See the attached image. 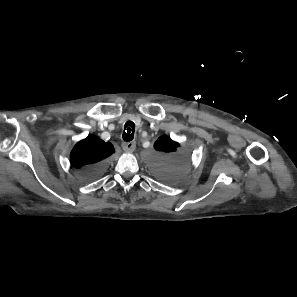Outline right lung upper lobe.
I'll list each match as a JSON object with an SVG mask.
<instances>
[{
  "label": "right lung upper lobe",
  "mask_w": 297,
  "mask_h": 297,
  "mask_svg": "<svg viewBox=\"0 0 297 297\" xmlns=\"http://www.w3.org/2000/svg\"><path fill=\"white\" fill-rule=\"evenodd\" d=\"M114 153L113 145L105 143L96 136H88L79 141L70 154L71 164L79 170L105 162V158Z\"/></svg>",
  "instance_id": "obj_1"
}]
</instances>
